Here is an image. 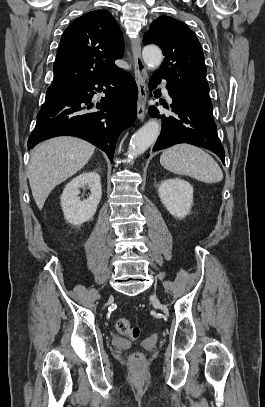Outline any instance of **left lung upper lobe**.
Listing matches in <instances>:
<instances>
[{
    "label": "left lung upper lobe",
    "mask_w": 265,
    "mask_h": 407,
    "mask_svg": "<svg viewBox=\"0 0 265 407\" xmlns=\"http://www.w3.org/2000/svg\"><path fill=\"white\" fill-rule=\"evenodd\" d=\"M143 43L158 45L165 58L156 71L176 95L213 114L201 45L190 28L169 16L152 22Z\"/></svg>",
    "instance_id": "obj_1"
}]
</instances>
